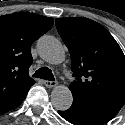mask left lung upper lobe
I'll return each instance as SVG.
<instances>
[{
  "label": "left lung upper lobe",
  "instance_id": "5c2ea615",
  "mask_svg": "<svg viewBox=\"0 0 125 125\" xmlns=\"http://www.w3.org/2000/svg\"><path fill=\"white\" fill-rule=\"evenodd\" d=\"M56 28L71 55L76 81L73 104H125V56L112 35L88 18H57Z\"/></svg>",
  "mask_w": 125,
  "mask_h": 125
}]
</instances>
